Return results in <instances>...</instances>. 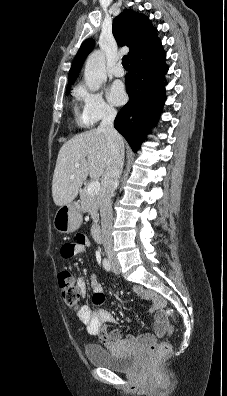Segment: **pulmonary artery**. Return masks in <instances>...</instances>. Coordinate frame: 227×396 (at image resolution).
Returning <instances> with one entry per match:
<instances>
[{
	"label": "pulmonary artery",
	"instance_id": "obj_1",
	"mask_svg": "<svg viewBox=\"0 0 227 396\" xmlns=\"http://www.w3.org/2000/svg\"><path fill=\"white\" fill-rule=\"evenodd\" d=\"M112 74L116 77H122L124 75V69L122 68L121 65H116L112 69Z\"/></svg>",
	"mask_w": 227,
	"mask_h": 396
}]
</instances>
